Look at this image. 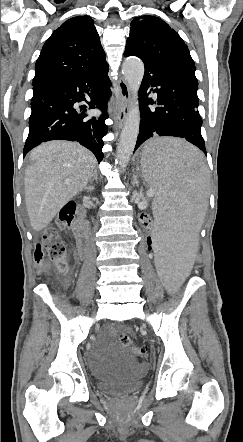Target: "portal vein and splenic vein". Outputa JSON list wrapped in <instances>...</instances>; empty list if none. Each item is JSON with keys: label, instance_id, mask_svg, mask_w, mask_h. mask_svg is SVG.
<instances>
[{"label": "portal vein and splenic vein", "instance_id": "obj_1", "mask_svg": "<svg viewBox=\"0 0 243 442\" xmlns=\"http://www.w3.org/2000/svg\"><path fill=\"white\" fill-rule=\"evenodd\" d=\"M154 194H155V191L153 189H150V190L147 191V195L149 197H152Z\"/></svg>", "mask_w": 243, "mask_h": 442}]
</instances>
